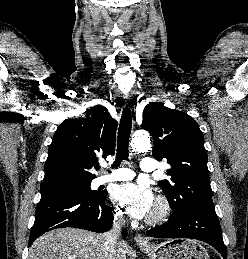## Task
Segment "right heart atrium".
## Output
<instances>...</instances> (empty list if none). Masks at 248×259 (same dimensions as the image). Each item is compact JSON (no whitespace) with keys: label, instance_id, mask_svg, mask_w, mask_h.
Wrapping results in <instances>:
<instances>
[{"label":"right heart atrium","instance_id":"right-heart-atrium-1","mask_svg":"<svg viewBox=\"0 0 248 259\" xmlns=\"http://www.w3.org/2000/svg\"><path fill=\"white\" fill-rule=\"evenodd\" d=\"M122 211L120 210V209H116L115 210V216L117 217V218H122Z\"/></svg>","mask_w":248,"mask_h":259}]
</instances>
